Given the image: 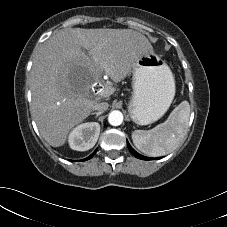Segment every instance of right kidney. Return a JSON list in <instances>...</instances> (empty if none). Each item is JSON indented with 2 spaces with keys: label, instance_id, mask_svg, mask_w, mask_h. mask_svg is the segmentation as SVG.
Instances as JSON below:
<instances>
[{
  "label": "right kidney",
  "instance_id": "1",
  "mask_svg": "<svg viewBox=\"0 0 227 227\" xmlns=\"http://www.w3.org/2000/svg\"><path fill=\"white\" fill-rule=\"evenodd\" d=\"M99 134V123L87 122L80 124L69 135L70 148L77 151H87L96 144Z\"/></svg>",
  "mask_w": 227,
  "mask_h": 227
}]
</instances>
